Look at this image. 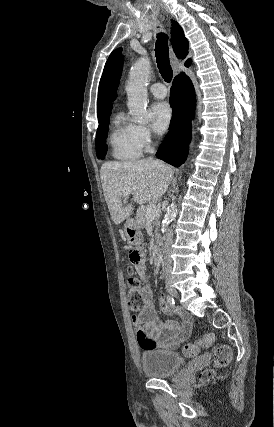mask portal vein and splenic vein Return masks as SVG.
Here are the masks:
<instances>
[{
  "label": "portal vein and splenic vein",
  "mask_w": 274,
  "mask_h": 427,
  "mask_svg": "<svg viewBox=\"0 0 274 427\" xmlns=\"http://www.w3.org/2000/svg\"><path fill=\"white\" fill-rule=\"evenodd\" d=\"M131 192H132V190H126V192H124L125 198H128V196H130ZM155 215H158L157 206H156V204H150V206H148V208L146 210V217H147V219H151V217H155Z\"/></svg>",
  "instance_id": "obj_1"
}]
</instances>
